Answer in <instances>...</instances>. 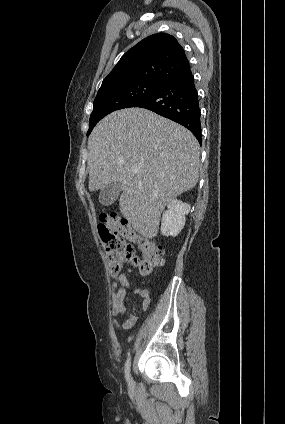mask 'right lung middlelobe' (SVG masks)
<instances>
[{"instance_id": "right-lung-middle-lobe-1", "label": "right lung middle lobe", "mask_w": 285, "mask_h": 424, "mask_svg": "<svg viewBox=\"0 0 285 424\" xmlns=\"http://www.w3.org/2000/svg\"><path fill=\"white\" fill-rule=\"evenodd\" d=\"M163 83L160 81H139L98 91L89 120L87 136L103 117L113 111L128 108L136 101L153 94Z\"/></svg>"}]
</instances>
